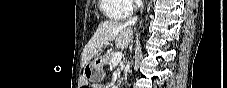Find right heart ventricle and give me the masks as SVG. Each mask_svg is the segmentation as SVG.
Wrapping results in <instances>:
<instances>
[{"mask_svg": "<svg viewBox=\"0 0 227 88\" xmlns=\"http://www.w3.org/2000/svg\"><path fill=\"white\" fill-rule=\"evenodd\" d=\"M125 0H99L101 12L108 19L118 20L129 14L130 6Z\"/></svg>", "mask_w": 227, "mask_h": 88, "instance_id": "1", "label": "right heart ventricle"}]
</instances>
